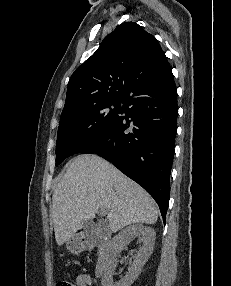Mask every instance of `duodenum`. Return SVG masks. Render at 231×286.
Masks as SVG:
<instances>
[{
    "mask_svg": "<svg viewBox=\"0 0 231 286\" xmlns=\"http://www.w3.org/2000/svg\"><path fill=\"white\" fill-rule=\"evenodd\" d=\"M79 246L85 251H96L95 270L97 276H101L107 267L109 252L108 237L102 235L97 237L82 236Z\"/></svg>",
    "mask_w": 231,
    "mask_h": 286,
    "instance_id": "410a0bca",
    "label": "duodenum"
}]
</instances>
